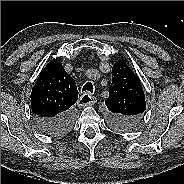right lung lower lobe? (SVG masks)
I'll list each match as a JSON object with an SVG mask.
<instances>
[{"instance_id":"obj_1","label":"right lung lower lobe","mask_w":184,"mask_h":184,"mask_svg":"<svg viewBox=\"0 0 184 184\" xmlns=\"http://www.w3.org/2000/svg\"><path fill=\"white\" fill-rule=\"evenodd\" d=\"M36 121L42 131L53 135L65 128L67 124H72V114L69 111L55 118H37Z\"/></svg>"}]
</instances>
